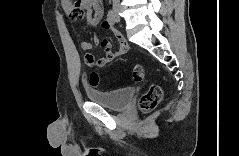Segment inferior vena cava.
I'll list each match as a JSON object with an SVG mask.
<instances>
[{"label": "inferior vena cava", "mask_w": 239, "mask_h": 156, "mask_svg": "<svg viewBox=\"0 0 239 156\" xmlns=\"http://www.w3.org/2000/svg\"><path fill=\"white\" fill-rule=\"evenodd\" d=\"M113 3L117 5L119 3V0H113Z\"/></svg>", "instance_id": "inferior-vena-cava-1"}]
</instances>
